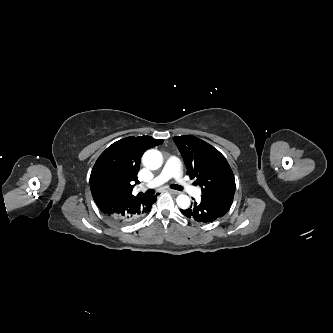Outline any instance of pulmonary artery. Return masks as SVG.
Listing matches in <instances>:
<instances>
[{"instance_id": "e3ab8cb5", "label": "pulmonary artery", "mask_w": 333, "mask_h": 333, "mask_svg": "<svg viewBox=\"0 0 333 333\" xmlns=\"http://www.w3.org/2000/svg\"><path fill=\"white\" fill-rule=\"evenodd\" d=\"M171 178H174L178 183V185L181 186L182 189L187 191L189 194L195 197L201 195L200 188L192 186L183 178L181 172V162L179 158L175 156L170 157L166 161L160 173L154 179H152L147 185H145V187L149 188L157 187L167 182Z\"/></svg>"}]
</instances>
